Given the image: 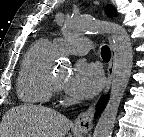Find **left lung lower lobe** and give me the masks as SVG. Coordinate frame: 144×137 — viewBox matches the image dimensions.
<instances>
[{
	"mask_svg": "<svg viewBox=\"0 0 144 137\" xmlns=\"http://www.w3.org/2000/svg\"><path fill=\"white\" fill-rule=\"evenodd\" d=\"M103 99L104 98H101V100L98 103V110H101L103 108Z\"/></svg>",
	"mask_w": 144,
	"mask_h": 137,
	"instance_id": "left-lung-lower-lobe-1",
	"label": "left lung lower lobe"
}]
</instances>
